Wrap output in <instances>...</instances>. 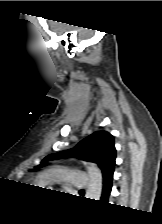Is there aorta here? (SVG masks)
I'll list each match as a JSON object with an SVG mask.
<instances>
[{"label": "aorta", "mask_w": 162, "mask_h": 224, "mask_svg": "<svg viewBox=\"0 0 162 224\" xmlns=\"http://www.w3.org/2000/svg\"><path fill=\"white\" fill-rule=\"evenodd\" d=\"M89 183L86 198L99 200L102 193L103 178L101 170L95 165L88 166Z\"/></svg>", "instance_id": "1"}]
</instances>
